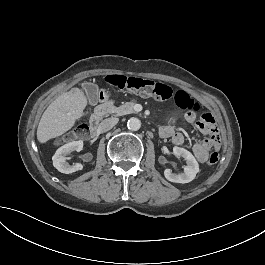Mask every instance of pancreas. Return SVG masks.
I'll return each instance as SVG.
<instances>
[{
  "instance_id": "cf45deb5",
  "label": "pancreas",
  "mask_w": 265,
  "mask_h": 265,
  "mask_svg": "<svg viewBox=\"0 0 265 265\" xmlns=\"http://www.w3.org/2000/svg\"><path fill=\"white\" fill-rule=\"evenodd\" d=\"M137 104L136 99H132L128 102L123 103L121 106H112L109 107V111L114 114V116H122L126 114H133L135 113L134 106Z\"/></svg>"
}]
</instances>
